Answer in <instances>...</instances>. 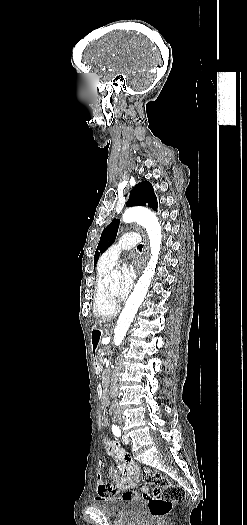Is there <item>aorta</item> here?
Here are the masks:
<instances>
[{"instance_id":"aorta-1","label":"aorta","mask_w":247,"mask_h":525,"mask_svg":"<svg viewBox=\"0 0 247 525\" xmlns=\"http://www.w3.org/2000/svg\"><path fill=\"white\" fill-rule=\"evenodd\" d=\"M122 220L125 223L137 222L146 229L150 240L151 257L117 321V326L114 330V344L116 346L122 343L138 308L148 292L151 280L155 274L162 242L161 226L156 215L150 210L141 207L129 208L124 212ZM117 277L116 274H112L109 281L111 282Z\"/></svg>"}]
</instances>
